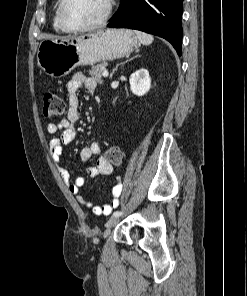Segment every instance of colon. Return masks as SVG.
I'll use <instances>...</instances> for the list:
<instances>
[{"label": "colon", "mask_w": 247, "mask_h": 296, "mask_svg": "<svg viewBox=\"0 0 247 296\" xmlns=\"http://www.w3.org/2000/svg\"><path fill=\"white\" fill-rule=\"evenodd\" d=\"M65 108L62 96L56 92H47L44 95L43 115L46 119H56L60 117ZM105 159L115 167H120L123 163L122 151L117 146H112L105 152Z\"/></svg>", "instance_id": "colon-1"}]
</instances>
